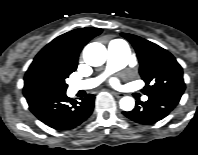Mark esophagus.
<instances>
[{
    "label": "esophagus",
    "instance_id": "34e87169",
    "mask_svg": "<svg viewBox=\"0 0 198 155\" xmlns=\"http://www.w3.org/2000/svg\"><path fill=\"white\" fill-rule=\"evenodd\" d=\"M112 94L115 96V97H117V98H121V97H123V95L124 94H122V93H119V92H112Z\"/></svg>",
    "mask_w": 198,
    "mask_h": 155
}]
</instances>
